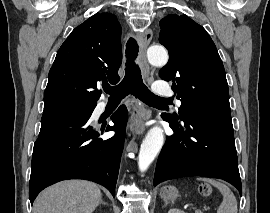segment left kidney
<instances>
[{
  "instance_id": "1",
  "label": "left kidney",
  "mask_w": 270,
  "mask_h": 213,
  "mask_svg": "<svg viewBox=\"0 0 270 213\" xmlns=\"http://www.w3.org/2000/svg\"><path fill=\"white\" fill-rule=\"evenodd\" d=\"M168 213H185V212L180 209L173 208V209H170Z\"/></svg>"
}]
</instances>
